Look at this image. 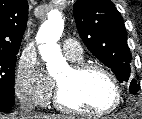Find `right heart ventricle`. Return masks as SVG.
<instances>
[{
	"mask_svg": "<svg viewBox=\"0 0 142 119\" xmlns=\"http://www.w3.org/2000/svg\"><path fill=\"white\" fill-rule=\"evenodd\" d=\"M80 59H81V58H79V59H76V60H73V61H77V62H79V61H80Z\"/></svg>",
	"mask_w": 142,
	"mask_h": 119,
	"instance_id": "1",
	"label": "right heart ventricle"
}]
</instances>
